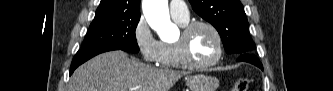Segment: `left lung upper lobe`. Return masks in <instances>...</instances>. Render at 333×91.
I'll list each match as a JSON object with an SVG mask.
<instances>
[{
    "label": "left lung upper lobe",
    "mask_w": 333,
    "mask_h": 91,
    "mask_svg": "<svg viewBox=\"0 0 333 91\" xmlns=\"http://www.w3.org/2000/svg\"><path fill=\"white\" fill-rule=\"evenodd\" d=\"M193 10L219 32L225 51L240 55L253 52L246 14L240 0H189Z\"/></svg>",
    "instance_id": "1"
}]
</instances>
